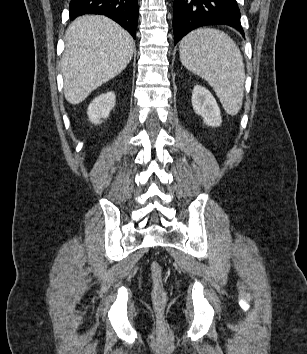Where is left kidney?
Returning <instances> with one entry per match:
<instances>
[{
    "mask_svg": "<svg viewBox=\"0 0 307 354\" xmlns=\"http://www.w3.org/2000/svg\"><path fill=\"white\" fill-rule=\"evenodd\" d=\"M192 106L196 114L203 118V122L212 127H218L222 123L220 108L206 88L196 85L192 91Z\"/></svg>",
    "mask_w": 307,
    "mask_h": 354,
    "instance_id": "left-kidney-1",
    "label": "left kidney"
}]
</instances>
